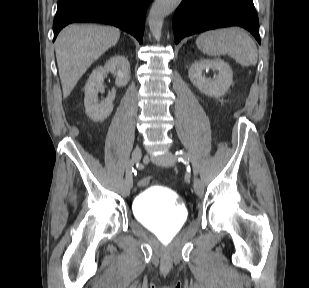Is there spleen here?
I'll list each match as a JSON object with an SVG mask.
<instances>
[{
	"label": "spleen",
	"mask_w": 309,
	"mask_h": 288,
	"mask_svg": "<svg viewBox=\"0 0 309 288\" xmlns=\"http://www.w3.org/2000/svg\"><path fill=\"white\" fill-rule=\"evenodd\" d=\"M196 45L201 52L209 56L227 54L242 67L257 64L258 51L254 41L238 27L206 31L198 36Z\"/></svg>",
	"instance_id": "1"
}]
</instances>
